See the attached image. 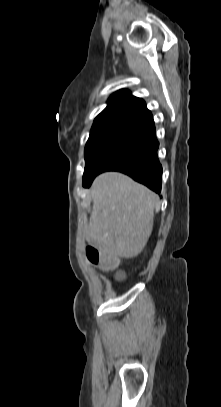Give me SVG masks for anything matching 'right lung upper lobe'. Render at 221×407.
<instances>
[{"label": "right lung upper lobe", "mask_w": 221, "mask_h": 407, "mask_svg": "<svg viewBox=\"0 0 221 407\" xmlns=\"http://www.w3.org/2000/svg\"><path fill=\"white\" fill-rule=\"evenodd\" d=\"M151 120L152 114L142 99L120 90L109 98L108 106L95 118L91 132L120 126L140 128Z\"/></svg>", "instance_id": "obj_1"}]
</instances>
